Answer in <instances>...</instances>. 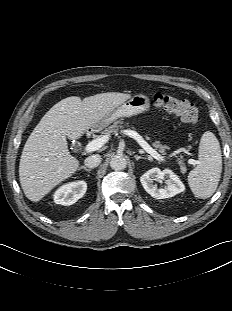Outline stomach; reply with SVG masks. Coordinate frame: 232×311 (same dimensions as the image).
Returning <instances> with one entry per match:
<instances>
[{"label": "stomach", "instance_id": "stomach-1", "mask_svg": "<svg viewBox=\"0 0 232 311\" xmlns=\"http://www.w3.org/2000/svg\"><path fill=\"white\" fill-rule=\"evenodd\" d=\"M150 108V99L143 94H137L116 107L109 115L104 117L92 129L97 131L108 126L113 121L122 117H131L147 111Z\"/></svg>", "mask_w": 232, "mask_h": 311}]
</instances>
